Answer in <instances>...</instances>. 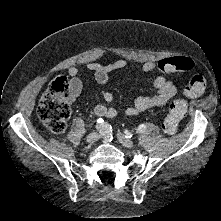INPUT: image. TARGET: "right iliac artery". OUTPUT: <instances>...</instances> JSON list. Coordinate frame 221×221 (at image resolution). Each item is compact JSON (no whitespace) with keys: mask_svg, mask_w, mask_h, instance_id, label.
I'll return each mask as SVG.
<instances>
[{"mask_svg":"<svg viewBox=\"0 0 221 221\" xmlns=\"http://www.w3.org/2000/svg\"><path fill=\"white\" fill-rule=\"evenodd\" d=\"M98 124V128L100 129V131L104 132L105 134L108 133L110 130V126L107 123H104L103 119L99 118L97 120Z\"/></svg>","mask_w":221,"mask_h":221,"instance_id":"right-iliac-artery-1","label":"right iliac artery"}]
</instances>
